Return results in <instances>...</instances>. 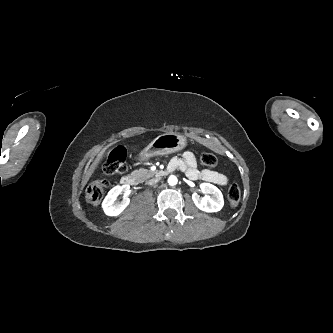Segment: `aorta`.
Instances as JSON below:
<instances>
[{
    "label": "aorta",
    "instance_id": "1",
    "mask_svg": "<svg viewBox=\"0 0 333 333\" xmlns=\"http://www.w3.org/2000/svg\"><path fill=\"white\" fill-rule=\"evenodd\" d=\"M178 183V179L175 175H170L168 178V184L170 186H175Z\"/></svg>",
    "mask_w": 333,
    "mask_h": 333
}]
</instances>
